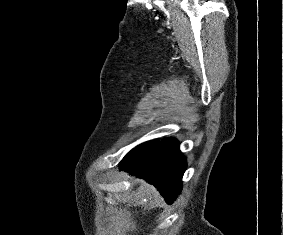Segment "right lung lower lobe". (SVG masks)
Listing matches in <instances>:
<instances>
[{
  "label": "right lung lower lobe",
  "mask_w": 283,
  "mask_h": 235,
  "mask_svg": "<svg viewBox=\"0 0 283 235\" xmlns=\"http://www.w3.org/2000/svg\"><path fill=\"white\" fill-rule=\"evenodd\" d=\"M125 171L145 179L153 184L172 203L180 193L182 176L186 170V158L179 150V143L174 138H167L157 143L142 157L128 162H121Z\"/></svg>",
  "instance_id": "right-lung-lower-lobe-1"
}]
</instances>
